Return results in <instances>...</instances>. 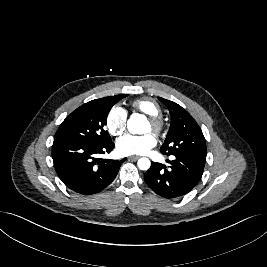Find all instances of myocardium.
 Returning a JSON list of instances; mask_svg holds the SVG:
<instances>
[{"mask_svg": "<svg viewBox=\"0 0 267 267\" xmlns=\"http://www.w3.org/2000/svg\"><path fill=\"white\" fill-rule=\"evenodd\" d=\"M148 121L151 127V131H153L157 135L163 133L165 129V122L161 115L150 116L148 118Z\"/></svg>", "mask_w": 267, "mask_h": 267, "instance_id": "obj_1", "label": "myocardium"}]
</instances>
